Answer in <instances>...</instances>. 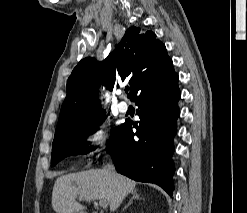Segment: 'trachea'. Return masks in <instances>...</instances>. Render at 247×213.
<instances>
[{
    "label": "trachea",
    "instance_id": "obj_1",
    "mask_svg": "<svg viewBox=\"0 0 247 213\" xmlns=\"http://www.w3.org/2000/svg\"><path fill=\"white\" fill-rule=\"evenodd\" d=\"M128 91H129V88L126 87V88H125V92L128 93Z\"/></svg>",
    "mask_w": 247,
    "mask_h": 213
}]
</instances>
